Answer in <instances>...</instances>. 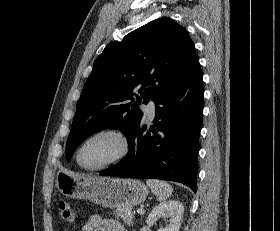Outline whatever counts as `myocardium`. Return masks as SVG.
I'll return each instance as SVG.
<instances>
[{
	"instance_id": "f54148a6",
	"label": "myocardium",
	"mask_w": 280,
	"mask_h": 231,
	"mask_svg": "<svg viewBox=\"0 0 280 231\" xmlns=\"http://www.w3.org/2000/svg\"><path fill=\"white\" fill-rule=\"evenodd\" d=\"M101 134H114V135L118 136L122 142V151L116 158H114L113 160H111L110 162H108L107 164H105L103 166H100L97 168H87V167L83 166L80 161L81 151L84 148L85 144L90 139H92L93 137H96L98 135H101ZM130 150H131V141H130V137L126 131H124L123 129H121L119 127H105V128H102V129H99V130L93 132L92 134H90L83 140V142L81 143V145L79 146V148L77 149V152H76V163L82 170H84L86 172L102 171L104 169H107V168L114 166V165L120 163L121 161H123L128 156Z\"/></svg>"
}]
</instances>
